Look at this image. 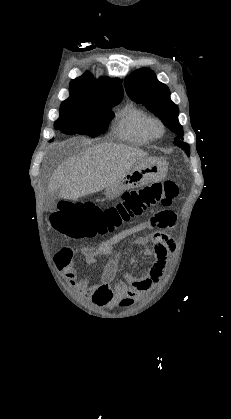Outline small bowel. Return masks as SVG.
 <instances>
[{
    "mask_svg": "<svg viewBox=\"0 0 231 419\" xmlns=\"http://www.w3.org/2000/svg\"><path fill=\"white\" fill-rule=\"evenodd\" d=\"M165 223L162 226V223ZM176 215L165 210L148 221L123 229L109 239L101 242L98 247H83L80 249L84 261L90 265L98 256H109L113 248L131 235L145 230L160 227L165 232H174ZM163 231H155L150 235L140 237L134 241L136 246H144V253L153 258V263L143 276L126 275L124 281H117L118 264L114 259H109L104 266L100 280L91 284L85 277H79L75 251L69 247L63 248L65 264L55 260L56 266L63 272L69 284L75 287L85 297L90 299L96 307L112 308L125 298L130 300L139 298L152 290L162 279L168 265L169 256L176 250L175 240Z\"/></svg>",
    "mask_w": 231,
    "mask_h": 419,
    "instance_id": "small-bowel-1",
    "label": "small bowel"
}]
</instances>
